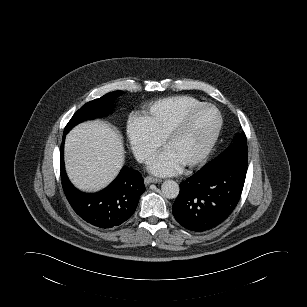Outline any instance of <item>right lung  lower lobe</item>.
Returning <instances> with one entry per match:
<instances>
[{"label": "right lung lower lobe", "instance_id": "98d812e1", "mask_svg": "<svg viewBox=\"0 0 307 307\" xmlns=\"http://www.w3.org/2000/svg\"><path fill=\"white\" fill-rule=\"evenodd\" d=\"M64 139L60 150L61 178L65 195L74 211L86 222L101 229L115 228L127 221L136 210L145 191L141 174L124 167L118 177L98 193H83L70 183L64 168Z\"/></svg>", "mask_w": 307, "mask_h": 307}]
</instances>
